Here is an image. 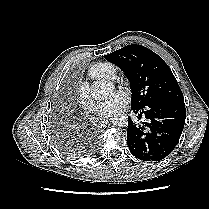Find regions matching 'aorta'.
I'll list each match as a JSON object with an SVG mask.
<instances>
[{
    "mask_svg": "<svg viewBox=\"0 0 209 209\" xmlns=\"http://www.w3.org/2000/svg\"><path fill=\"white\" fill-rule=\"evenodd\" d=\"M113 88L111 84L103 81L95 82L91 88V97L95 100H103L109 97ZM112 123L118 127H126L128 125V117L124 114H117L112 118Z\"/></svg>",
    "mask_w": 209,
    "mask_h": 209,
    "instance_id": "obj_1",
    "label": "aorta"
}]
</instances>
